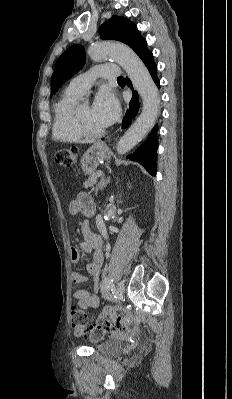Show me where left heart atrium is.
Listing matches in <instances>:
<instances>
[{
  "label": "left heart atrium",
  "mask_w": 232,
  "mask_h": 399,
  "mask_svg": "<svg viewBox=\"0 0 232 399\" xmlns=\"http://www.w3.org/2000/svg\"><path fill=\"white\" fill-rule=\"evenodd\" d=\"M92 115L106 128L113 125L119 115L120 107L116 99L110 93H101L93 106L91 107Z\"/></svg>",
  "instance_id": "1"
}]
</instances>
